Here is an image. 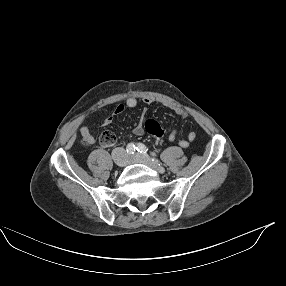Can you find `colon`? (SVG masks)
<instances>
[{"mask_svg": "<svg viewBox=\"0 0 286 286\" xmlns=\"http://www.w3.org/2000/svg\"><path fill=\"white\" fill-rule=\"evenodd\" d=\"M146 136L154 144L163 142L167 136L165 127L155 120L149 119L145 122ZM116 141V135L112 131H104L100 136V142L104 146H110Z\"/></svg>", "mask_w": 286, "mask_h": 286, "instance_id": "5ec220e1", "label": "colon"}]
</instances>
